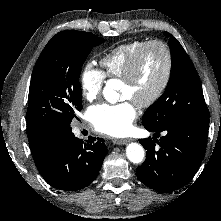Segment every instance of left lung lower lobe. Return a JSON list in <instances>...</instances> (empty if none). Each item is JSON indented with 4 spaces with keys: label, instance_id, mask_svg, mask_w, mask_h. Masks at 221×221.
Masks as SVG:
<instances>
[{
    "label": "left lung lower lobe",
    "instance_id": "obj_1",
    "mask_svg": "<svg viewBox=\"0 0 221 221\" xmlns=\"http://www.w3.org/2000/svg\"><path fill=\"white\" fill-rule=\"evenodd\" d=\"M209 111L204 116L184 117L172 121L154 136L165 131L158 141L155 137L140 139L146 150L144 163L136 169L138 179L158 192H172L186 185L196 174L205 155ZM160 146L155 150V142Z\"/></svg>",
    "mask_w": 221,
    "mask_h": 221
}]
</instances>
